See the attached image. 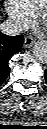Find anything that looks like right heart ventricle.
<instances>
[{
    "label": "right heart ventricle",
    "instance_id": "right-heart-ventricle-1",
    "mask_svg": "<svg viewBox=\"0 0 47 129\" xmlns=\"http://www.w3.org/2000/svg\"><path fill=\"white\" fill-rule=\"evenodd\" d=\"M22 6L35 17L47 0H18Z\"/></svg>",
    "mask_w": 47,
    "mask_h": 129
}]
</instances>
